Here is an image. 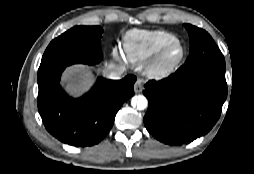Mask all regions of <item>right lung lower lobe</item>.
Instances as JSON below:
<instances>
[{
	"mask_svg": "<svg viewBox=\"0 0 254 174\" xmlns=\"http://www.w3.org/2000/svg\"><path fill=\"white\" fill-rule=\"evenodd\" d=\"M65 67L38 79L39 114L47 131L63 143L77 147L98 144L112 128L124 101L134 95L136 77L127 75L118 81L99 78L87 94L73 99L59 84Z\"/></svg>",
	"mask_w": 254,
	"mask_h": 174,
	"instance_id": "1",
	"label": "right lung lower lobe"
}]
</instances>
